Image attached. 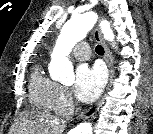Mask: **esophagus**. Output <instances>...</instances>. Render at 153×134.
<instances>
[{"label": "esophagus", "mask_w": 153, "mask_h": 134, "mask_svg": "<svg viewBox=\"0 0 153 134\" xmlns=\"http://www.w3.org/2000/svg\"><path fill=\"white\" fill-rule=\"evenodd\" d=\"M94 37H95V40L100 43L103 48H104V51H105V55H104V59L107 63V66H108V70H109V80L111 82V79L114 75V69H113V61H112V57H111V54H110V51H109V48L106 44V42L104 41L103 37H102V34L99 30L98 27L95 28L94 30ZM101 102L102 100H99L94 106L90 107L84 114L83 116L84 117H91L93 116L97 111L98 109L100 108L101 106Z\"/></svg>", "instance_id": "obj_1"}]
</instances>
